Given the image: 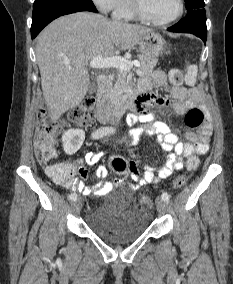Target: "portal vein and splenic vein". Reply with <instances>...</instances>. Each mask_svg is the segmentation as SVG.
Segmentation results:
<instances>
[{
    "label": "portal vein and splenic vein",
    "mask_w": 233,
    "mask_h": 284,
    "mask_svg": "<svg viewBox=\"0 0 233 284\" xmlns=\"http://www.w3.org/2000/svg\"><path fill=\"white\" fill-rule=\"evenodd\" d=\"M140 66V62L137 60L130 61L128 59L113 56L104 58L102 56H96L90 61V67L97 69L118 68L120 70L129 71L132 67Z\"/></svg>",
    "instance_id": "obj_1"
}]
</instances>
